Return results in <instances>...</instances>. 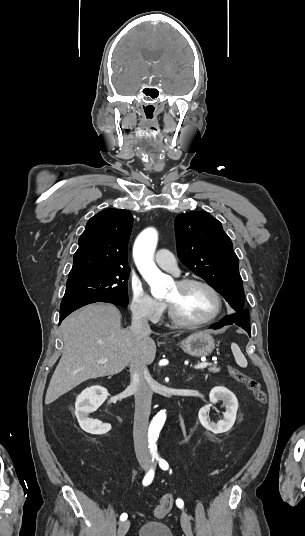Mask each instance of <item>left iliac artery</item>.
<instances>
[{
    "mask_svg": "<svg viewBox=\"0 0 305 536\" xmlns=\"http://www.w3.org/2000/svg\"><path fill=\"white\" fill-rule=\"evenodd\" d=\"M157 460L159 461V466L161 467V469L163 470L168 469L169 465L164 459L157 457ZM176 504L178 507L182 508L184 505V502L181 499H177Z\"/></svg>",
    "mask_w": 305,
    "mask_h": 536,
    "instance_id": "44dca946",
    "label": "left iliac artery"
}]
</instances>
